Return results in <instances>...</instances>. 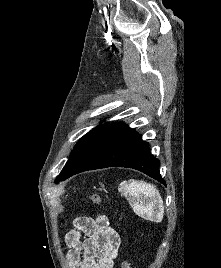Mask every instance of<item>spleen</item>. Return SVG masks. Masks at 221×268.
Segmentation results:
<instances>
[{
	"instance_id": "obj_1",
	"label": "spleen",
	"mask_w": 221,
	"mask_h": 268,
	"mask_svg": "<svg viewBox=\"0 0 221 268\" xmlns=\"http://www.w3.org/2000/svg\"><path fill=\"white\" fill-rule=\"evenodd\" d=\"M119 192L128 194L133 211L140 217L161 222L164 216V204L155 186L143 181L131 179L120 183Z\"/></svg>"
}]
</instances>
